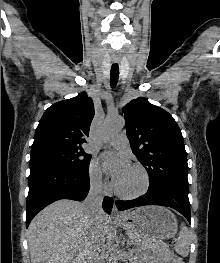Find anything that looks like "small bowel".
<instances>
[{"label": "small bowel", "instance_id": "1", "mask_svg": "<svg viewBox=\"0 0 220 263\" xmlns=\"http://www.w3.org/2000/svg\"><path fill=\"white\" fill-rule=\"evenodd\" d=\"M154 263H161V262H159V261H154Z\"/></svg>", "mask_w": 220, "mask_h": 263}]
</instances>
